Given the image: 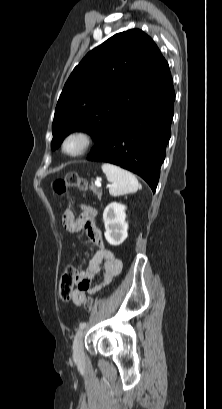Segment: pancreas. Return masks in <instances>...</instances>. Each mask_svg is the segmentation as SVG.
<instances>
[{"label": "pancreas", "mask_w": 222, "mask_h": 409, "mask_svg": "<svg viewBox=\"0 0 222 409\" xmlns=\"http://www.w3.org/2000/svg\"><path fill=\"white\" fill-rule=\"evenodd\" d=\"M90 190L93 192V194L97 195L99 199H101L102 190H100L96 186H94L93 183L90 185Z\"/></svg>", "instance_id": "pancreas-1"}]
</instances>
